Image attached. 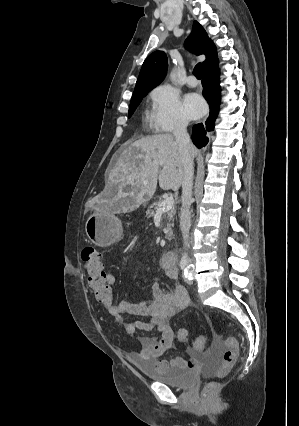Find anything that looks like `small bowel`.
<instances>
[{"instance_id": "1", "label": "small bowel", "mask_w": 299, "mask_h": 426, "mask_svg": "<svg viewBox=\"0 0 299 426\" xmlns=\"http://www.w3.org/2000/svg\"><path fill=\"white\" fill-rule=\"evenodd\" d=\"M165 274L170 279L177 277V268L174 265L162 263ZM106 281L110 286L116 283L113 274L105 270ZM189 304V297L182 286H175L171 291H165L157 280L152 286V297L137 303L126 300L118 304H111L106 310L114 316L116 321L123 325L129 335H134L137 331H156L159 337L141 336L138 339L140 345L139 352L129 354L132 362L139 360L150 361L155 368L165 369L167 367L194 368L199 363L200 353L195 348H188L189 358L175 357L170 361L161 359L165 351L172 347L174 332L169 324L170 319ZM126 315L148 317V320L128 321Z\"/></svg>"}]
</instances>
